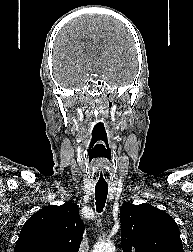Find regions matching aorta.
I'll use <instances>...</instances> for the list:
<instances>
[{
    "instance_id": "aorta-1",
    "label": "aorta",
    "mask_w": 193,
    "mask_h": 252,
    "mask_svg": "<svg viewBox=\"0 0 193 252\" xmlns=\"http://www.w3.org/2000/svg\"><path fill=\"white\" fill-rule=\"evenodd\" d=\"M92 252H115V246L111 241H99L94 245Z\"/></svg>"
}]
</instances>
